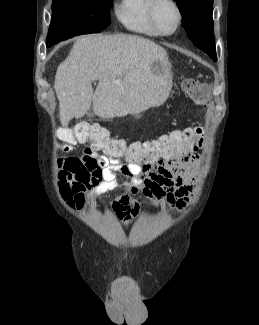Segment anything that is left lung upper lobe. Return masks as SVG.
Instances as JSON below:
<instances>
[{
  "label": "left lung upper lobe",
  "mask_w": 259,
  "mask_h": 325,
  "mask_svg": "<svg viewBox=\"0 0 259 325\" xmlns=\"http://www.w3.org/2000/svg\"><path fill=\"white\" fill-rule=\"evenodd\" d=\"M183 17V27L194 45L217 60L214 43L213 0H175Z\"/></svg>",
  "instance_id": "obj_1"
}]
</instances>
